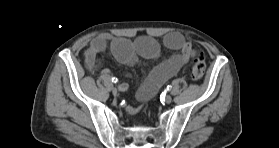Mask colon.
<instances>
[{"instance_id":"1","label":"colon","mask_w":279,"mask_h":148,"mask_svg":"<svg viewBox=\"0 0 279 148\" xmlns=\"http://www.w3.org/2000/svg\"><path fill=\"white\" fill-rule=\"evenodd\" d=\"M206 68L205 57L202 52L196 54L191 69V79L195 82L201 80L204 76Z\"/></svg>"}]
</instances>
